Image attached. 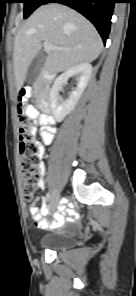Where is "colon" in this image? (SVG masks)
I'll return each instance as SVG.
<instances>
[{"label": "colon", "instance_id": "obj_1", "mask_svg": "<svg viewBox=\"0 0 136 296\" xmlns=\"http://www.w3.org/2000/svg\"><path fill=\"white\" fill-rule=\"evenodd\" d=\"M30 94V89L26 88L21 91L23 100ZM32 107L25 102L19 104V152H20V172L22 176V191L24 199L28 206L33 209L35 201V187L39 180L37 170L38 145L34 139L36 124L29 115ZM33 218V217H32Z\"/></svg>", "mask_w": 136, "mask_h": 296}]
</instances>
